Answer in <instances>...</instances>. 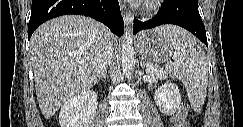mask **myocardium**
<instances>
[{
	"label": "myocardium",
	"instance_id": "obj_1",
	"mask_svg": "<svg viewBox=\"0 0 243 127\" xmlns=\"http://www.w3.org/2000/svg\"><path fill=\"white\" fill-rule=\"evenodd\" d=\"M156 5H157V1L148 2L145 6V10L146 11L154 10L156 8Z\"/></svg>",
	"mask_w": 243,
	"mask_h": 127
}]
</instances>
